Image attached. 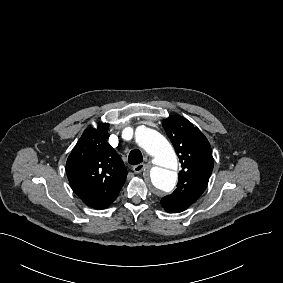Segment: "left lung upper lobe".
<instances>
[{
    "label": "left lung upper lobe",
    "instance_id": "left-lung-upper-lobe-1",
    "mask_svg": "<svg viewBox=\"0 0 283 283\" xmlns=\"http://www.w3.org/2000/svg\"><path fill=\"white\" fill-rule=\"evenodd\" d=\"M163 127L179 157L182 170L176 190L161 199V206L182 212L205 191L213 170L211 146L203 133L184 117L175 115Z\"/></svg>",
    "mask_w": 283,
    "mask_h": 283
}]
</instances>
